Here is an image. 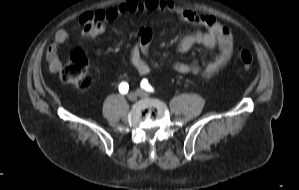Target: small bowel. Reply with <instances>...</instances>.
I'll use <instances>...</instances> for the list:
<instances>
[{"instance_id":"1","label":"small bowel","mask_w":299,"mask_h":190,"mask_svg":"<svg viewBox=\"0 0 299 190\" xmlns=\"http://www.w3.org/2000/svg\"><path fill=\"white\" fill-rule=\"evenodd\" d=\"M140 10L172 12L187 23L206 28V32H196L184 37L178 45L179 54H186L195 45H202L208 49L218 48L214 57L203 66L196 59L173 63L172 69L175 72L212 76L229 62L233 53V36L230 30L220 24L213 15H200L192 10L177 7L170 1L125 0L121 4L109 8L86 11L80 16L82 24L81 35L85 38H97L105 32L106 21L114 20L123 14ZM69 39L70 33L67 30L61 29L56 32L54 40L48 46L46 57L51 72L56 73L61 69L62 63L58 57V50L60 45ZM151 42V29L149 27H142L139 30L138 40L125 53L124 60L130 63L141 76L147 75L152 67L159 65L151 57Z\"/></svg>"}]
</instances>
